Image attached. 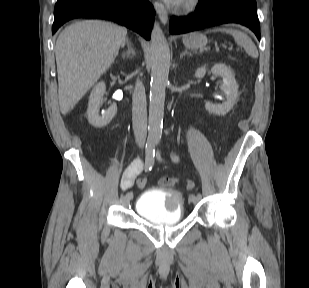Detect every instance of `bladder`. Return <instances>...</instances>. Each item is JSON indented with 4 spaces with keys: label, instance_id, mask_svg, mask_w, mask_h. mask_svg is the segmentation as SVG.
Here are the masks:
<instances>
[{
    "label": "bladder",
    "instance_id": "31cf9c89",
    "mask_svg": "<svg viewBox=\"0 0 309 288\" xmlns=\"http://www.w3.org/2000/svg\"><path fill=\"white\" fill-rule=\"evenodd\" d=\"M135 211L149 222L173 225L183 217V197L176 190L147 189L137 199Z\"/></svg>",
    "mask_w": 309,
    "mask_h": 288
}]
</instances>
